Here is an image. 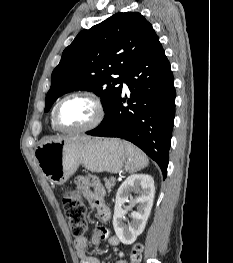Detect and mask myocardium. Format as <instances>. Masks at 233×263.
Listing matches in <instances>:
<instances>
[{
	"label": "myocardium",
	"instance_id": "obj_1",
	"mask_svg": "<svg viewBox=\"0 0 233 263\" xmlns=\"http://www.w3.org/2000/svg\"><path fill=\"white\" fill-rule=\"evenodd\" d=\"M75 97H83V98H87L88 100H90L95 106L96 113H95L93 120L89 124L81 128H77V129L65 128L59 122V110H60L61 105L65 101L71 98H75ZM104 116H105V107L99 96L89 91H77V92L70 93L64 96L61 100H59V102L56 104L54 108L53 123L55 127L62 132L82 133V132L90 131L96 128L102 122Z\"/></svg>",
	"mask_w": 233,
	"mask_h": 263
}]
</instances>
